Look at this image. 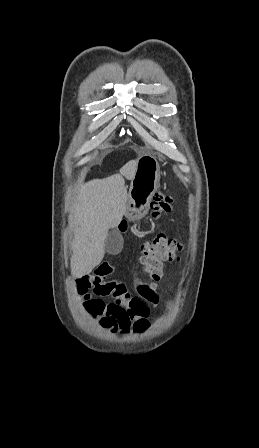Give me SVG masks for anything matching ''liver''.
<instances>
[{
    "label": "liver",
    "mask_w": 259,
    "mask_h": 448,
    "mask_svg": "<svg viewBox=\"0 0 259 448\" xmlns=\"http://www.w3.org/2000/svg\"><path fill=\"white\" fill-rule=\"evenodd\" d=\"M136 162H129L120 174L91 180L81 186L69 220L74 230L71 274L82 278L99 266L105 254V242L110 228L119 226L125 212L127 190L123 176L132 180Z\"/></svg>",
    "instance_id": "6515ba94"
}]
</instances>
